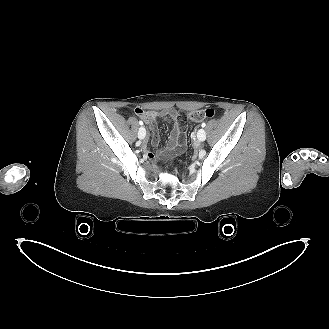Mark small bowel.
I'll return each mask as SVG.
<instances>
[{"mask_svg": "<svg viewBox=\"0 0 329 329\" xmlns=\"http://www.w3.org/2000/svg\"><path fill=\"white\" fill-rule=\"evenodd\" d=\"M138 117L145 121L149 127V139L152 145L157 146L159 143L158 131L155 121L159 118L167 119L173 123L169 135L167 148L162 152L163 158H171L174 154L181 153L186 147L185 130L188 127L184 110L163 109V110H145L141 107L135 109ZM149 159H155V155L148 149H145Z\"/></svg>", "mask_w": 329, "mask_h": 329, "instance_id": "obj_1", "label": "small bowel"}]
</instances>
